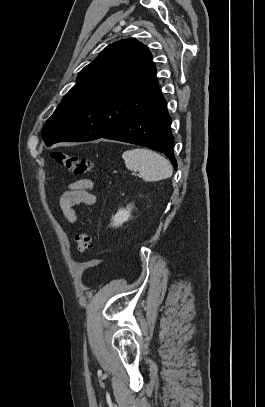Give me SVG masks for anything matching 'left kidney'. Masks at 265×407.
<instances>
[{"label": "left kidney", "instance_id": "obj_1", "mask_svg": "<svg viewBox=\"0 0 265 407\" xmlns=\"http://www.w3.org/2000/svg\"><path fill=\"white\" fill-rule=\"evenodd\" d=\"M131 210H132V207L130 205L127 206L126 209L119 210L115 214V216L112 218V226L113 227H119L124 222L128 221L129 218L131 217Z\"/></svg>", "mask_w": 265, "mask_h": 407}]
</instances>
